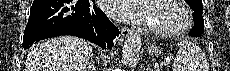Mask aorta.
<instances>
[{"label": "aorta", "mask_w": 230, "mask_h": 71, "mask_svg": "<svg viewBox=\"0 0 230 71\" xmlns=\"http://www.w3.org/2000/svg\"><path fill=\"white\" fill-rule=\"evenodd\" d=\"M141 47V36L139 34H131L124 42L122 64L126 67L135 66L140 59Z\"/></svg>", "instance_id": "762f6f07"}]
</instances>
